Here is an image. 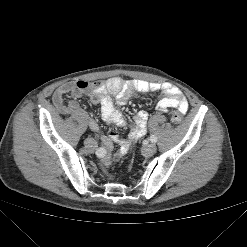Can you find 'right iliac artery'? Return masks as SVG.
Instances as JSON below:
<instances>
[{
    "instance_id": "1",
    "label": "right iliac artery",
    "mask_w": 247,
    "mask_h": 247,
    "mask_svg": "<svg viewBox=\"0 0 247 247\" xmlns=\"http://www.w3.org/2000/svg\"><path fill=\"white\" fill-rule=\"evenodd\" d=\"M96 156L99 158V159H104L106 156H107V151L105 148L103 147H100L97 149L96 151Z\"/></svg>"
}]
</instances>
